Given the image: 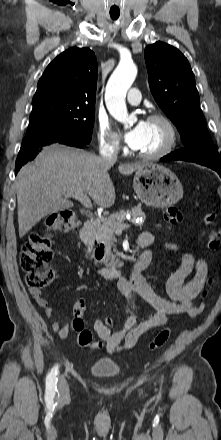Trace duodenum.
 I'll list each match as a JSON object with an SVG mask.
<instances>
[{
	"label": "duodenum",
	"instance_id": "obj_1",
	"mask_svg": "<svg viewBox=\"0 0 221 440\" xmlns=\"http://www.w3.org/2000/svg\"><path fill=\"white\" fill-rule=\"evenodd\" d=\"M95 229V220H88L84 226L81 228L80 230V237L83 241H86L89 239V237L92 235V233L94 232ZM97 259H100L101 256H97ZM150 264V259L148 258H144L140 261H138L135 264V268L137 271H142L144 269H146ZM120 271V267L118 264H112L108 267H104L103 269H101L100 273L102 276L106 277V278H115Z\"/></svg>",
	"mask_w": 221,
	"mask_h": 440
}]
</instances>
